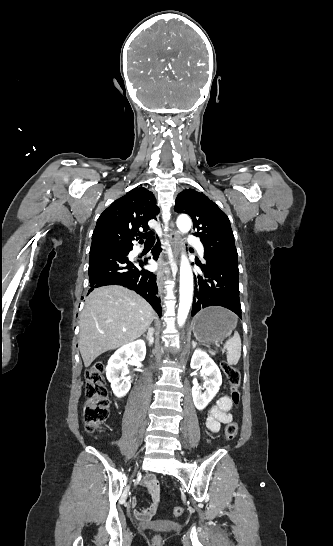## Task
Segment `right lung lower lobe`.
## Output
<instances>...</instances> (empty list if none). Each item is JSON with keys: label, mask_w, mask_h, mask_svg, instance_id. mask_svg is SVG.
Listing matches in <instances>:
<instances>
[{"label": "right lung lower lobe", "mask_w": 333, "mask_h": 546, "mask_svg": "<svg viewBox=\"0 0 333 546\" xmlns=\"http://www.w3.org/2000/svg\"><path fill=\"white\" fill-rule=\"evenodd\" d=\"M132 250L127 246H108L90 249L89 281L93 289L106 285H122L134 290L144 297L161 316V305L156 284V276L143 269L147 260L130 261L128 253ZM159 247L152 250L153 259L159 257Z\"/></svg>", "instance_id": "obj_1"}]
</instances>
